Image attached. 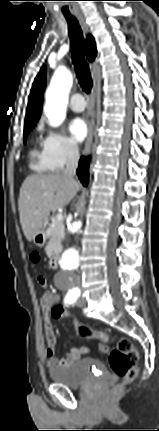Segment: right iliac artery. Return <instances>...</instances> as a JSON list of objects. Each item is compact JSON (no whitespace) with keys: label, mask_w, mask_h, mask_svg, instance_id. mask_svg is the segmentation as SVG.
Listing matches in <instances>:
<instances>
[{"label":"right iliac artery","mask_w":159,"mask_h":431,"mask_svg":"<svg viewBox=\"0 0 159 431\" xmlns=\"http://www.w3.org/2000/svg\"><path fill=\"white\" fill-rule=\"evenodd\" d=\"M80 293V291H79V289H72V290H70L67 294H66V296H65V299H64V302L66 303V304H74L75 302H76V300H77V298H78V294Z\"/></svg>","instance_id":"82829eb1"}]
</instances>
